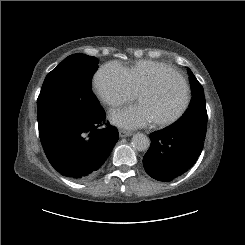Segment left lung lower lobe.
Returning <instances> with one entry per match:
<instances>
[{"label": "left lung lower lobe", "mask_w": 245, "mask_h": 245, "mask_svg": "<svg viewBox=\"0 0 245 245\" xmlns=\"http://www.w3.org/2000/svg\"><path fill=\"white\" fill-rule=\"evenodd\" d=\"M150 139L143 165L152 178L164 182L181 176L195 164L205 140L190 132L168 128L151 133Z\"/></svg>", "instance_id": "0a47b994"}]
</instances>
